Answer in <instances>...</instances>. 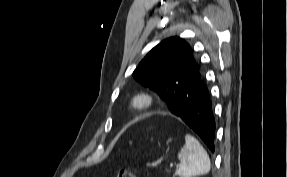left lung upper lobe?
Wrapping results in <instances>:
<instances>
[{"label": "left lung upper lobe", "instance_id": "obj_1", "mask_svg": "<svg viewBox=\"0 0 287 177\" xmlns=\"http://www.w3.org/2000/svg\"><path fill=\"white\" fill-rule=\"evenodd\" d=\"M199 63L191 47L179 37L163 40L140 62L134 78L157 91L169 106L178 99L184 87L200 82Z\"/></svg>", "mask_w": 287, "mask_h": 177}]
</instances>
